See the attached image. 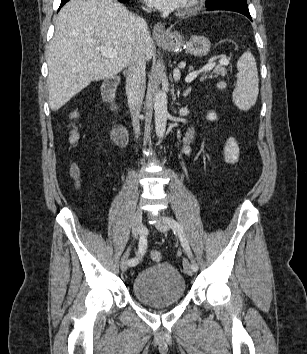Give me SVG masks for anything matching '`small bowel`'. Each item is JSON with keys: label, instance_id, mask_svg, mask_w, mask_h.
Returning a JSON list of instances; mask_svg holds the SVG:
<instances>
[{"label": "small bowel", "instance_id": "c3829d8e", "mask_svg": "<svg viewBox=\"0 0 307 354\" xmlns=\"http://www.w3.org/2000/svg\"><path fill=\"white\" fill-rule=\"evenodd\" d=\"M191 139V132H189L186 136V142L188 143ZM183 152L188 155L190 153V148L188 144H186L183 148ZM239 155V149L237 146V143L233 137H229L226 140L225 146H224V157L225 160L228 163H234Z\"/></svg>", "mask_w": 307, "mask_h": 354}]
</instances>
